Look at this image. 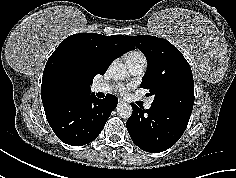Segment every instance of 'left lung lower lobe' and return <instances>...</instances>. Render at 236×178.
Listing matches in <instances>:
<instances>
[{"instance_id":"left-lung-lower-lobe-1","label":"left lung lower lobe","mask_w":236,"mask_h":178,"mask_svg":"<svg viewBox=\"0 0 236 178\" xmlns=\"http://www.w3.org/2000/svg\"><path fill=\"white\" fill-rule=\"evenodd\" d=\"M133 113L126 122L132 141L150 153L163 152L172 147L184 133L191 112L152 103L144 110L131 104Z\"/></svg>"}]
</instances>
